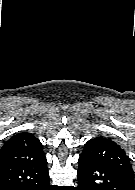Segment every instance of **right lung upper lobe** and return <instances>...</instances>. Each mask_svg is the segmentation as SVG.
Segmentation results:
<instances>
[{"label": "right lung upper lobe", "instance_id": "1", "mask_svg": "<svg viewBox=\"0 0 135 190\" xmlns=\"http://www.w3.org/2000/svg\"><path fill=\"white\" fill-rule=\"evenodd\" d=\"M44 156L39 139L30 133H20L9 139L0 150V164L16 160H31Z\"/></svg>", "mask_w": 135, "mask_h": 190}]
</instances>
